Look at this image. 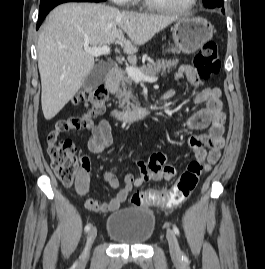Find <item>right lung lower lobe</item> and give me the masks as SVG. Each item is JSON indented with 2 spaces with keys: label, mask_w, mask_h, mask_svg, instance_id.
<instances>
[{
  "label": "right lung lower lobe",
  "mask_w": 265,
  "mask_h": 269,
  "mask_svg": "<svg viewBox=\"0 0 265 269\" xmlns=\"http://www.w3.org/2000/svg\"><path fill=\"white\" fill-rule=\"evenodd\" d=\"M106 0H41L40 2V11L37 23V29L41 25L45 16L52 10L55 6L65 3V2H103Z\"/></svg>",
  "instance_id": "1"
}]
</instances>
